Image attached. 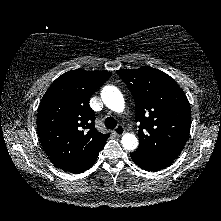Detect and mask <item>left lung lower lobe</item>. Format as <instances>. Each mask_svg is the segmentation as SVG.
<instances>
[{
  "label": "left lung lower lobe",
  "mask_w": 221,
  "mask_h": 221,
  "mask_svg": "<svg viewBox=\"0 0 221 221\" xmlns=\"http://www.w3.org/2000/svg\"><path fill=\"white\" fill-rule=\"evenodd\" d=\"M133 162L147 171H158L171 165L174 160L149 157L137 152L130 154Z\"/></svg>",
  "instance_id": "0a47b994"
}]
</instances>
